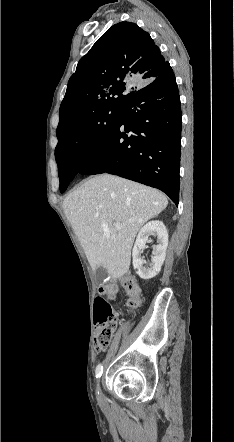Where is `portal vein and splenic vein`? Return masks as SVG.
Wrapping results in <instances>:
<instances>
[{
  "instance_id": "obj_1",
  "label": "portal vein and splenic vein",
  "mask_w": 234,
  "mask_h": 442,
  "mask_svg": "<svg viewBox=\"0 0 234 442\" xmlns=\"http://www.w3.org/2000/svg\"><path fill=\"white\" fill-rule=\"evenodd\" d=\"M114 226H115L116 229H121L122 226H123V224L120 223V222H115V223H114Z\"/></svg>"
}]
</instances>
